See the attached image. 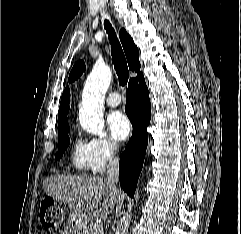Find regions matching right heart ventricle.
I'll return each mask as SVG.
<instances>
[{
    "mask_svg": "<svg viewBox=\"0 0 241 234\" xmlns=\"http://www.w3.org/2000/svg\"><path fill=\"white\" fill-rule=\"evenodd\" d=\"M71 163L79 172L93 171L91 152L87 142L80 139L74 141L71 150Z\"/></svg>",
    "mask_w": 241,
    "mask_h": 234,
    "instance_id": "obj_1",
    "label": "right heart ventricle"
}]
</instances>
